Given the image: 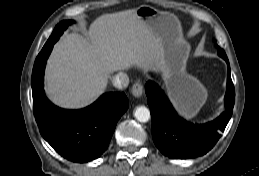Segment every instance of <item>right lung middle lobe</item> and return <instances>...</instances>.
I'll return each instance as SVG.
<instances>
[{
	"label": "right lung middle lobe",
	"mask_w": 259,
	"mask_h": 176,
	"mask_svg": "<svg viewBox=\"0 0 259 176\" xmlns=\"http://www.w3.org/2000/svg\"><path fill=\"white\" fill-rule=\"evenodd\" d=\"M69 23H70V21H62V22H60V23L56 26V28L54 29V31H53V33L51 34V36H50V38L48 39V41L51 40V39H53V38H55V37H59V36L63 33V31L67 28V26H68Z\"/></svg>",
	"instance_id": "right-lung-middle-lobe-1"
}]
</instances>
